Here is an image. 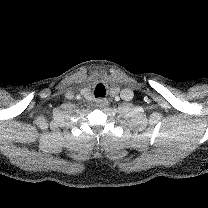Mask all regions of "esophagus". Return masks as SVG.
Wrapping results in <instances>:
<instances>
[{
	"mask_svg": "<svg viewBox=\"0 0 208 208\" xmlns=\"http://www.w3.org/2000/svg\"><path fill=\"white\" fill-rule=\"evenodd\" d=\"M104 105H108V101L105 99H98L97 100V106H104Z\"/></svg>",
	"mask_w": 208,
	"mask_h": 208,
	"instance_id": "obj_1",
	"label": "esophagus"
}]
</instances>
